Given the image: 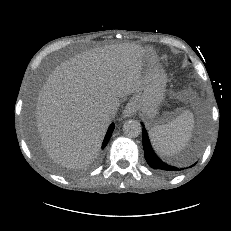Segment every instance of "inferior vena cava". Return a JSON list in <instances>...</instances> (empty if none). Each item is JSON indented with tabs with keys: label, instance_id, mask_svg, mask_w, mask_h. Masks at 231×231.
I'll return each mask as SVG.
<instances>
[{
	"label": "inferior vena cava",
	"instance_id": "1",
	"mask_svg": "<svg viewBox=\"0 0 231 231\" xmlns=\"http://www.w3.org/2000/svg\"><path fill=\"white\" fill-rule=\"evenodd\" d=\"M115 111V108L113 106H109L106 110H105V113L106 114H112L114 113Z\"/></svg>",
	"mask_w": 231,
	"mask_h": 231
}]
</instances>
